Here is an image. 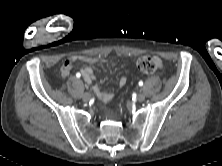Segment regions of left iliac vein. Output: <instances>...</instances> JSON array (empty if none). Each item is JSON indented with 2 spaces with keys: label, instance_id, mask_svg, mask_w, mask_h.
Here are the masks:
<instances>
[{
  "label": "left iliac vein",
  "instance_id": "obj_1",
  "mask_svg": "<svg viewBox=\"0 0 222 166\" xmlns=\"http://www.w3.org/2000/svg\"><path fill=\"white\" fill-rule=\"evenodd\" d=\"M137 100L140 101V102L144 101L145 100V95L143 93H139L137 95Z\"/></svg>",
  "mask_w": 222,
  "mask_h": 166
}]
</instances>
